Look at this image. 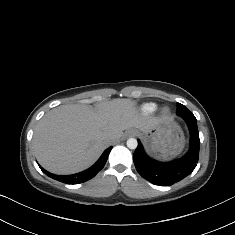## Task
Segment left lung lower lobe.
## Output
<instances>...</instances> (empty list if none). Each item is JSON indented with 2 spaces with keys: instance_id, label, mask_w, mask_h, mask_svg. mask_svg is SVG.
I'll return each mask as SVG.
<instances>
[{
  "instance_id": "1",
  "label": "left lung lower lobe",
  "mask_w": 235,
  "mask_h": 235,
  "mask_svg": "<svg viewBox=\"0 0 235 235\" xmlns=\"http://www.w3.org/2000/svg\"><path fill=\"white\" fill-rule=\"evenodd\" d=\"M189 127L190 148L181 158L171 162H158L146 155L141 142L133 154L137 172L146 180L157 185H172L193 172L199 158V132L195 116L182 117Z\"/></svg>"
}]
</instances>
